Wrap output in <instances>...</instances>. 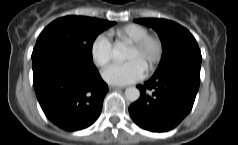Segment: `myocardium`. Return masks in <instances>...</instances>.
<instances>
[{
	"label": "myocardium",
	"instance_id": "f54148a6",
	"mask_svg": "<svg viewBox=\"0 0 238 145\" xmlns=\"http://www.w3.org/2000/svg\"><path fill=\"white\" fill-rule=\"evenodd\" d=\"M148 46H152L153 48V53L148 59L145 68L147 72H150L156 67L163 54V43L161 38L156 34H147L130 45V47L137 52H142Z\"/></svg>",
	"mask_w": 238,
	"mask_h": 145
}]
</instances>
